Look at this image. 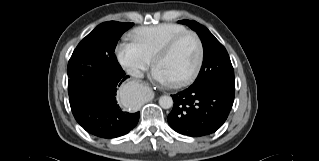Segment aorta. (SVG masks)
Here are the masks:
<instances>
[{
    "instance_id": "1",
    "label": "aorta",
    "mask_w": 319,
    "mask_h": 161,
    "mask_svg": "<svg viewBox=\"0 0 319 161\" xmlns=\"http://www.w3.org/2000/svg\"><path fill=\"white\" fill-rule=\"evenodd\" d=\"M159 105L163 109H169L173 106V99L170 96L164 95L159 98Z\"/></svg>"
}]
</instances>
